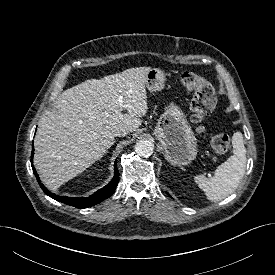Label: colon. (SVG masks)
I'll use <instances>...</instances> for the list:
<instances>
[{"instance_id": "colon-1", "label": "colon", "mask_w": 275, "mask_h": 275, "mask_svg": "<svg viewBox=\"0 0 275 275\" xmlns=\"http://www.w3.org/2000/svg\"><path fill=\"white\" fill-rule=\"evenodd\" d=\"M181 81L187 90L193 92L190 102L191 120L197 124V131L203 132L206 117L216 105L215 90L208 81L193 72H184ZM211 146L216 153L224 154L230 147V139L226 134H215L211 138Z\"/></svg>"}]
</instances>
